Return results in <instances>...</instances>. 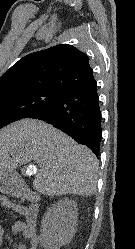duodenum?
<instances>
[{"instance_id": "410a0bca", "label": "duodenum", "mask_w": 135, "mask_h": 249, "mask_svg": "<svg viewBox=\"0 0 135 249\" xmlns=\"http://www.w3.org/2000/svg\"><path fill=\"white\" fill-rule=\"evenodd\" d=\"M21 192V196L26 200L28 201L29 203H31V207H37L38 203H39V195L34 191L32 190L31 188H23L20 190Z\"/></svg>"}]
</instances>
